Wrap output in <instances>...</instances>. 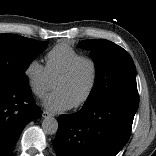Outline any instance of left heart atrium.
Masks as SVG:
<instances>
[{"label":"left heart atrium","mask_w":156,"mask_h":156,"mask_svg":"<svg viewBox=\"0 0 156 156\" xmlns=\"http://www.w3.org/2000/svg\"><path fill=\"white\" fill-rule=\"evenodd\" d=\"M43 106L52 113H58L71 109L73 104L62 92L54 91L45 97Z\"/></svg>","instance_id":"obj_1"}]
</instances>
